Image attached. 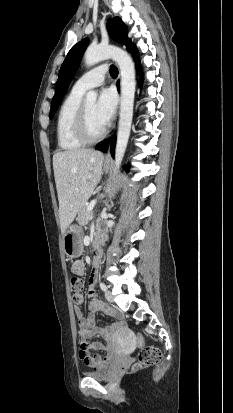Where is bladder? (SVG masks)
I'll return each instance as SVG.
<instances>
[{
	"instance_id": "obj_1",
	"label": "bladder",
	"mask_w": 233,
	"mask_h": 413,
	"mask_svg": "<svg viewBox=\"0 0 233 413\" xmlns=\"http://www.w3.org/2000/svg\"><path fill=\"white\" fill-rule=\"evenodd\" d=\"M84 375L88 378H93L100 381H108L114 375V369L111 366H106L94 371L84 372Z\"/></svg>"
}]
</instances>
